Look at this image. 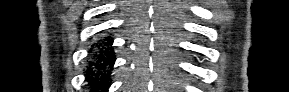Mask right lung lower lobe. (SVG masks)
Returning a JSON list of instances; mask_svg holds the SVG:
<instances>
[{
    "mask_svg": "<svg viewBox=\"0 0 289 92\" xmlns=\"http://www.w3.org/2000/svg\"><path fill=\"white\" fill-rule=\"evenodd\" d=\"M112 43L113 40L107 37L94 44L90 50L86 76L89 85L95 92L106 89L109 82V75L115 63Z\"/></svg>",
    "mask_w": 289,
    "mask_h": 92,
    "instance_id": "98d812e1",
    "label": "right lung lower lobe"
}]
</instances>
